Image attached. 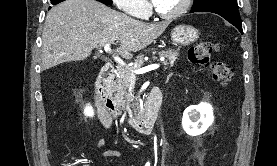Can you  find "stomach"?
<instances>
[{
	"mask_svg": "<svg viewBox=\"0 0 277 166\" xmlns=\"http://www.w3.org/2000/svg\"><path fill=\"white\" fill-rule=\"evenodd\" d=\"M172 41L181 46L193 44L199 38L198 30L191 25H177L171 32Z\"/></svg>",
	"mask_w": 277,
	"mask_h": 166,
	"instance_id": "0dacf381",
	"label": "stomach"
}]
</instances>
